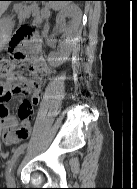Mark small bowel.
Returning a JSON list of instances; mask_svg holds the SVG:
<instances>
[{
    "label": "small bowel",
    "instance_id": "small-bowel-1",
    "mask_svg": "<svg viewBox=\"0 0 137 189\" xmlns=\"http://www.w3.org/2000/svg\"><path fill=\"white\" fill-rule=\"evenodd\" d=\"M32 72L33 80H29L21 72H14L8 82L0 84V133L7 145H15L28 138L33 118V112L31 115H26L20 107L16 118L10 113L8 103L19 94L29 93L30 99L24 101H28L32 107L36 106L40 100L43 84L40 76L47 75L50 71L46 61L39 59L34 62Z\"/></svg>",
    "mask_w": 137,
    "mask_h": 189
}]
</instances>
